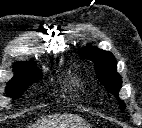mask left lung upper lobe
<instances>
[{
    "label": "left lung upper lobe",
    "instance_id": "left-lung-upper-lobe-1",
    "mask_svg": "<svg viewBox=\"0 0 142 128\" xmlns=\"http://www.w3.org/2000/svg\"><path fill=\"white\" fill-rule=\"evenodd\" d=\"M80 55L94 63L95 71L99 81L104 85L108 92L118 98V92L121 88L122 81L120 75L116 72V60L112 53L100 49H92L87 46ZM120 108L123 109L125 105L123 101L118 100Z\"/></svg>",
    "mask_w": 142,
    "mask_h": 128
}]
</instances>
